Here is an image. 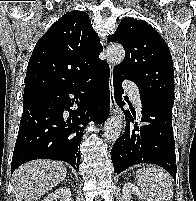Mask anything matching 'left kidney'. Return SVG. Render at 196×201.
I'll return each mask as SVG.
<instances>
[{
  "instance_id": "left-kidney-1",
  "label": "left kidney",
  "mask_w": 196,
  "mask_h": 201,
  "mask_svg": "<svg viewBox=\"0 0 196 201\" xmlns=\"http://www.w3.org/2000/svg\"><path fill=\"white\" fill-rule=\"evenodd\" d=\"M135 194L141 201H150V199L140 192L139 188L132 183H125L122 189L123 201H130L131 196Z\"/></svg>"
}]
</instances>
